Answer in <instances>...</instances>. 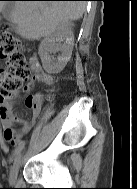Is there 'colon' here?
I'll use <instances>...</instances> for the list:
<instances>
[{"mask_svg":"<svg viewBox=\"0 0 137 189\" xmlns=\"http://www.w3.org/2000/svg\"><path fill=\"white\" fill-rule=\"evenodd\" d=\"M0 61L5 63L0 69V104L16 95L22 88L27 89L26 83L31 76V69L37 65L34 59H28L21 49L19 39L0 30ZM33 97H26L25 104L33 105Z\"/></svg>","mask_w":137,"mask_h":189,"instance_id":"obj_1","label":"colon"}]
</instances>
